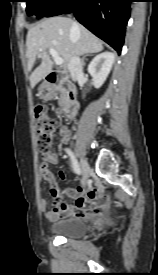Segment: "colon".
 Wrapping results in <instances>:
<instances>
[{"label": "colon", "mask_w": 158, "mask_h": 275, "mask_svg": "<svg viewBox=\"0 0 158 275\" xmlns=\"http://www.w3.org/2000/svg\"><path fill=\"white\" fill-rule=\"evenodd\" d=\"M35 128L37 147L42 153L47 152L53 142L57 122L42 106L35 108Z\"/></svg>", "instance_id": "obj_1"}]
</instances>
